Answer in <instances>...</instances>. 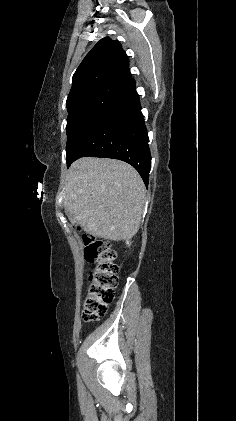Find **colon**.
Here are the masks:
<instances>
[{
  "label": "colon",
  "instance_id": "colon-1",
  "mask_svg": "<svg viewBox=\"0 0 236 421\" xmlns=\"http://www.w3.org/2000/svg\"><path fill=\"white\" fill-rule=\"evenodd\" d=\"M84 243L85 258L94 267L89 274L82 317L85 322H93L106 314L114 299L119 267L116 263V252L109 241L84 236Z\"/></svg>",
  "mask_w": 236,
  "mask_h": 421
}]
</instances>
